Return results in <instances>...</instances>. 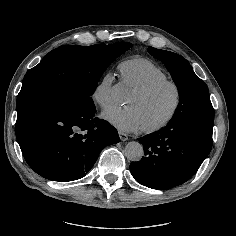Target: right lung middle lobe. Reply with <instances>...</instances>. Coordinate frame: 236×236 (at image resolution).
I'll return each mask as SVG.
<instances>
[{"instance_id": "right-lung-middle-lobe-1", "label": "right lung middle lobe", "mask_w": 236, "mask_h": 236, "mask_svg": "<svg viewBox=\"0 0 236 236\" xmlns=\"http://www.w3.org/2000/svg\"><path fill=\"white\" fill-rule=\"evenodd\" d=\"M131 46L122 42L52 50L26 73L17 97V118L45 105L94 106L91 95L102 74Z\"/></svg>"}]
</instances>
